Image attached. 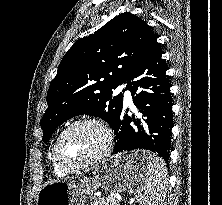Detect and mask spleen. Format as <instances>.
<instances>
[{"mask_svg": "<svg viewBox=\"0 0 222 205\" xmlns=\"http://www.w3.org/2000/svg\"><path fill=\"white\" fill-rule=\"evenodd\" d=\"M144 171L140 187L136 191V200L141 205H164L167 186V168L164 161L154 155L143 158Z\"/></svg>", "mask_w": 222, "mask_h": 205, "instance_id": "1", "label": "spleen"}]
</instances>
